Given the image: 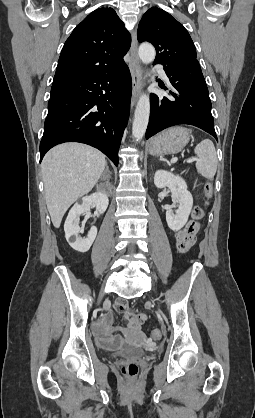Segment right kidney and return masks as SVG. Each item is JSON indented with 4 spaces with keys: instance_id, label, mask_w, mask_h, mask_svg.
<instances>
[{
    "instance_id": "ca27d5eb",
    "label": "right kidney",
    "mask_w": 255,
    "mask_h": 418,
    "mask_svg": "<svg viewBox=\"0 0 255 418\" xmlns=\"http://www.w3.org/2000/svg\"><path fill=\"white\" fill-rule=\"evenodd\" d=\"M108 204V196L99 191L88 197H83L71 208L64 224V231L67 242L74 250L81 253L87 252L97 236V228L95 226L91 227L86 238H82L79 235L81 231L79 227L80 216L89 213L90 207L93 205L102 214L106 211Z\"/></svg>"
}]
</instances>
